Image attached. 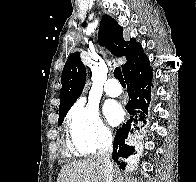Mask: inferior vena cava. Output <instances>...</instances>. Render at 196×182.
<instances>
[{
  "label": "inferior vena cava",
  "mask_w": 196,
  "mask_h": 182,
  "mask_svg": "<svg viewBox=\"0 0 196 182\" xmlns=\"http://www.w3.org/2000/svg\"><path fill=\"white\" fill-rule=\"evenodd\" d=\"M113 138L110 132H103L100 137V144L95 158L101 160L104 173H105V182H113L114 168L113 163L111 162V155L113 149Z\"/></svg>",
  "instance_id": "1"
}]
</instances>
